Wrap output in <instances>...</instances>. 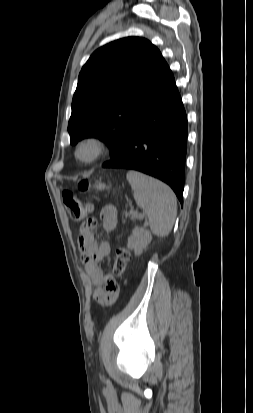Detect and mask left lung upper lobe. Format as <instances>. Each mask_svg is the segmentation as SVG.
Returning a JSON list of instances; mask_svg holds the SVG:
<instances>
[{"label":"left lung upper lobe","mask_w":253,"mask_h":413,"mask_svg":"<svg viewBox=\"0 0 253 413\" xmlns=\"http://www.w3.org/2000/svg\"><path fill=\"white\" fill-rule=\"evenodd\" d=\"M169 66L151 42L127 37L97 49L82 67L68 123L71 144L98 137L119 153L128 121L136 115Z\"/></svg>","instance_id":"1"}]
</instances>
